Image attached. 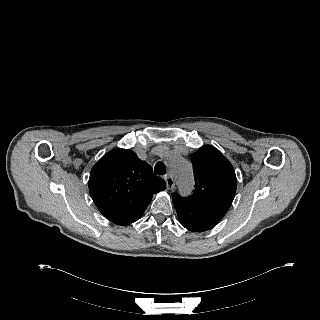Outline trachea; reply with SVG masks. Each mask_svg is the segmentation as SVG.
Listing matches in <instances>:
<instances>
[{
  "label": "trachea",
  "mask_w": 320,
  "mask_h": 320,
  "mask_svg": "<svg viewBox=\"0 0 320 320\" xmlns=\"http://www.w3.org/2000/svg\"><path fill=\"white\" fill-rule=\"evenodd\" d=\"M154 171H155V173L158 174V175H164V174H166L165 166H164V164H163L161 161H159V162L156 163L155 168H154Z\"/></svg>",
  "instance_id": "1"
}]
</instances>
